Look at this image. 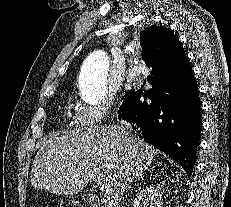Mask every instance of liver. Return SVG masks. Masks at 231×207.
Masks as SVG:
<instances>
[{"label": "liver", "instance_id": "6515ba94", "mask_svg": "<svg viewBox=\"0 0 231 207\" xmlns=\"http://www.w3.org/2000/svg\"><path fill=\"white\" fill-rule=\"evenodd\" d=\"M158 152L119 124L57 132L41 142L31 185L55 195H75L89 181H100L102 204L118 207L126 188Z\"/></svg>", "mask_w": 231, "mask_h": 207}]
</instances>
